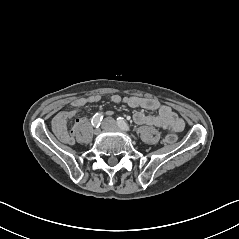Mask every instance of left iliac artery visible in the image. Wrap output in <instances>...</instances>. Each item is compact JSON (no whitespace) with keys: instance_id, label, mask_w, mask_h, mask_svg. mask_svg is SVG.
Listing matches in <instances>:
<instances>
[{"instance_id":"44dca946","label":"left iliac artery","mask_w":239,"mask_h":239,"mask_svg":"<svg viewBox=\"0 0 239 239\" xmlns=\"http://www.w3.org/2000/svg\"><path fill=\"white\" fill-rule=\"evenodd\" d=\"M117 125L122 130H125V131L130 130L129 125L126 123V121L122 117L117 118Z\"/></svg>"}]
</instances>
